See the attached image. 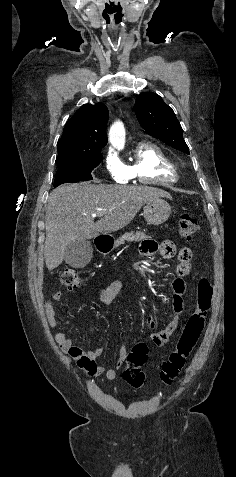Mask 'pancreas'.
<instances>
[{
	"instance_id": "pancreas-1",
	"label": "pancreas",
	"mask_w": 236,
	"mask_h": 477,
	"mask_svg": "<svg viewBox=\"0 0 236 477\" xmlns=\"http://www.w3.org/2000/svg\"><path fill=\"white\" fill-rule=\"evenodd\" d=\"M148 238V236L144 233V232H141V231H137V232H129V233H126L124 234L123 236H121L118 240H116V246L118 245H121V244H125V242H139L141 240H144Z\"/></svg>"
}]
</instances>
